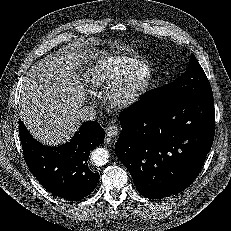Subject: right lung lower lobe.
<instances>
[{"label": "right lung lower lobe", "mask_w": 231, "mask_h": 231, "mask_svg": "<svg viewBox=\"0 0 231 231\" xmlns=\"http://www.w3.org/2000/svg\"><path fill=\"white\" fill-rule=\"evenodd\" d=\"M19 134L25 162L46 190L67 200H79L95 189L99 174L89 169L87 161L90 150L104 141L98 122H84L70 142L58 147L35 140L20 120Z\"/></svg>", "instance_id": "obj_1"}]
</instances>
